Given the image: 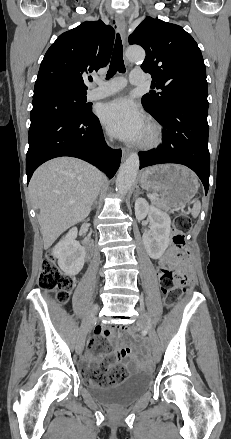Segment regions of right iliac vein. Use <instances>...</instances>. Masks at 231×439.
<instances>
[{
    "label": "right iliac vein",
    "instance_id": "right-iliac-vein-1",
    "mask_svg": "<svg viewBox=\"0 0 231 439\" xmlns=\"http://www.w3.org/2000/svg\"><path fill=\"white\" fill-rule=\"evenodd\" d=\"M96 311H97V307L93 308V310L90 312L89 316L84 320V322L81 325L80 332H79V335L77 338V343H76V352L78 354H81L83 349H84L86 335H87L92 323L96 319V317H95Z\"/></svg>",
    "mask_w": 231,
    "mask_h": 439
}]
</instances>
